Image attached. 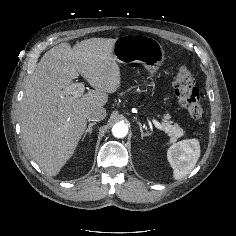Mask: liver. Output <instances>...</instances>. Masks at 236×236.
I'll use <instances>...</instances> for the list:
<instances>
[{"label": "liver", "instance_id": "1", "mask_svg": "<svg viewBox=\"0 0 236 236\" xmlns=\"http://www.w3.org/2000/svg\"><path fill=\"white\" fill-rule=\"evenodd\" d=\"M116 39L90 38L72 48L47 51L26 85L20 108L23 141L31 158L56 176L73 155L87 126V112L104 106L120 87L113 47ZM94 88L81 97L65 93L79 74Z\"/></svg>", "mask_w": 236, "mask_h": 236}]
</instances>
